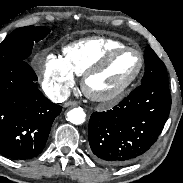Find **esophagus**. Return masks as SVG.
Listing matches in <instances>:
<instances>
[{
  "mask_svg": "<svg viewBox=\"0 0 183 183\" xmlns=\"http://www.w3.org/2000/svg\"><path fill=\"white\" fill-rule=\"evenodd\" d=\"M76 105H77L76 101H67L64 103V107L76 106Z\"/></svg>",
  "mask_w": 183,
  "mask_h": 183,
  "instance_id": "esophagus-1",
  "label": "esophagus"
}]
</instances>
